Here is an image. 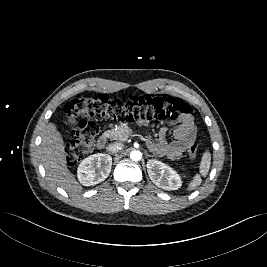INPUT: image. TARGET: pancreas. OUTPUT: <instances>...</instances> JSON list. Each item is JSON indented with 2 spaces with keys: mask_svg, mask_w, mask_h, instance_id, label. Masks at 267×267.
<instances>
[{
  "mask_svg": "<svg viewBox=\"0 0 267 267\" xmlns=\"http://www.w3.org/2000/svg\"><path fill=\"white\" fill-rule=\"evenodd\" d=\"M132 130L127 125H119L115 129L108 130L105 135L112 140L126 141Z\"/></svg>",
  "mask_w": 267,
  "mask_h": 267,
  "instance_id": "obj_1",
  "label": "pancreas"
}]
</instances>
